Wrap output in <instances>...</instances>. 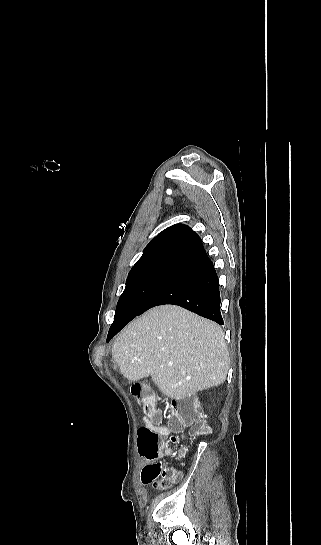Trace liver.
<instances>
[{
    "label": "liver",
    "instance_id": "6515ba94",
    "mask_svg": "<svg viewBox=\"0 0 321 545\" xmlns=\"http://www.w3.org/2000/svg\"><path fill=\"white\" fill-rule=\"evenodd\" d=\"M128 381L151 375L159 391L180 401L224 383L229 351L219 325L176 305H161L129 323L112 345Z\"/></svg>",
    "mask_w": 321,
    "mask_h": 545
}]
</instances>
